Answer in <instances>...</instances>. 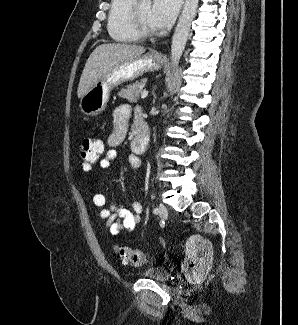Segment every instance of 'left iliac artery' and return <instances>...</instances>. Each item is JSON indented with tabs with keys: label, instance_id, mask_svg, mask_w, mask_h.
I'll return each instance as SVG.
<instances>
[{
	"label": "left iliac artery",
	"instance_id": "1",
	"mask_svg": "<svg viewBox=\"0 0 298 325\" xmlns=\"http://www.w3.org/2000/svg\"><path fill=\"white\" fill-rule=\"evenodd\" d=\"M153 213H154V214H158V213H159V209H158V208H154V209H153Z\"/></svg>",
	"mask_w": 298,
	"mask_h": 325
}]
</instances>
